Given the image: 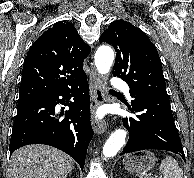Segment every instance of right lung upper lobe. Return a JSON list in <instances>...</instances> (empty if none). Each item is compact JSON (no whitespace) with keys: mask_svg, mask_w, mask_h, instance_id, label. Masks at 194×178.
<instances>
[{"mask_svg":"<svg viewBox=\"0 0 194 178\" xmlns=\"http://www.w3.org/2000/svg\"><path fill=\"white\" fill-rule=\"evenodd\" d=\"M90 50L71 23H55L32 44L24 60L19 100L72 88L87 80L83 61Z\"/></svg>","mask_w":194,"mask_h":178,"instance_id":"right-lung-upper-lobe-1","label":"right lung upper lobe"}]
</instances>
